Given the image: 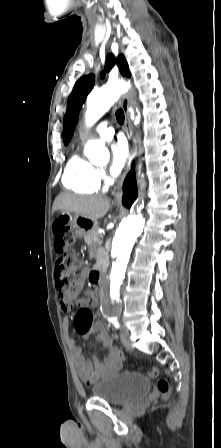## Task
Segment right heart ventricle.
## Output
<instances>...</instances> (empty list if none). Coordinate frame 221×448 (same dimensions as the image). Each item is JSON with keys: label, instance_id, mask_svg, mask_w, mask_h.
Listing matches in <instances>:
<instances>
[{"label": "right heart ventricle", "instance_id": "1", "mask_svg": "<svg viewBox=\"0 0 221 448\" xmlns=\"http://www.w3.org/2000/svg\"><path fill=\"white\" fill-rule=\"evenodd\" d=\"M62 182L76 193H94L99 189L97 168L75 153L65 167Z\"/></svg>", "mask_w": 221, "mask_h": 448}]
</instances>
